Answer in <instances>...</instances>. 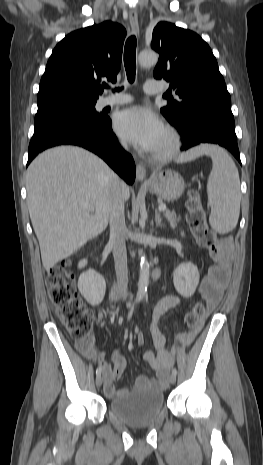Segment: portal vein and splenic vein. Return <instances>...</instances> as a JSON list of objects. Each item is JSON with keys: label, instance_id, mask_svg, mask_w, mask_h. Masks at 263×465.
Here are the masks:
<instances>
[{"label": "portal vein and splenic vein", "instance_id": "1", "mask_svg": "<svg viewBox=\"0 0 263 465\" xmlns=\"http://www.w3.org/2000/svg\"><path fill=\"white\" fill-rule=\"evenodd\" d=\"M83 207L86 208L89 212H93V211H94V207L91 206V205H89V204H87V203H84V204H83ZM158 209H159V211H165V210H166V205H165V204H160V205L158 206Z\"/></svg>", "mask_w": 263, "mask_h": 465}]
</instances>
